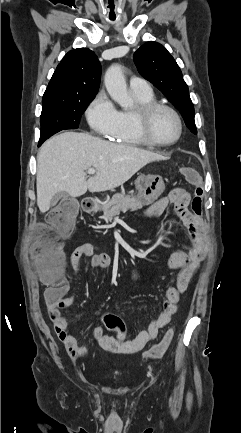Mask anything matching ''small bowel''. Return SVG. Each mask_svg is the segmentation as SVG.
I'll return each mask as SVG.
<instances>
[{
  "mask_svg": "<svg viewBox=\"0 0 241 433\" xmlns=\"http://www.w3.org/2000/svg\"><path fill=\"white\" fill-rule=\"evenodd\" d=\"M192 201L191 194L186 189L176 188L168 196L159 199L144 211L145 217L155 218L161 215L170 204L174 206L176 216L188 229L191 248L189 251L174 252L167 261V267L170 269H180V274L186 273L190 278L205 259L208 250L206 227L199 217L200 213H195L193 210L192 213L189 210L190 205L192 208ZM84 257L90 258V266L93 269H106L111 263L108 255L94 253L93 245L86 243L77 247L69 258L70 264L77 274L80 272L81 260ZM131 277L137 281L147 278L146 275L140 273L135 268L131 271ZM68 290L69 287L65 282L64 297L54 305H48V313L53 322L54 329L67 352L74 359H78L86 354L87 349L78 345L76 337L71 333L66 319L61 314V309L67 308L73 303V296H66ZM185 290L180 289L178 285L168 287L162 311L150 321L144 330L140 331L135 337L126 340L125 348L122 351H116L111 347L110 344L115 342L116 337L105 334L101 327H96L92 330V338L106 351L124 354H133L141 351L148 342L157 337L159 330L170 322L176 312L181 295ZM116 308L120 310L118 306Z\"/></svg>",
  "mask_w": 241,
  "mask_h": 433,
  "instance_id": "small-bowel-1",
  "label": "small bowel"
}]
</instances>
